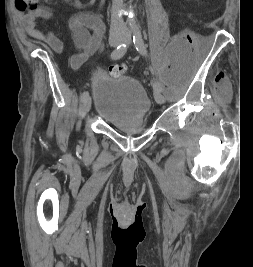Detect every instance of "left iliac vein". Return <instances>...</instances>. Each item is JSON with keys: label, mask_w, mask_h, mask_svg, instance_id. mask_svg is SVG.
Returning a JSON list of instances; mask_svg holds the SVG:
<instances>
[{"label": "left iliac vein", "mask_w": 253, "mask_h": 267, "mask_svg": "<svg viewBox=\"0 0 253 267\" xmlns=\"http://www.w3.org/2000/svg\"><path fill=\"white\" fill-rule=\"evenodd\" d=\"M124 41L128 44L132 43V40L129 36L124 37ZM154 98L158 104H162L165 102V98H164L163 94L161 93V91H159L157 89H154Z\"/></svg>", "instance_id": "4c4485c4"}]
</instances>
